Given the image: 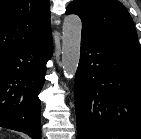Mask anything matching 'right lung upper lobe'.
I'll list each match as a JSON object with an SVG mask.
<instances>
[{
	"instance_id": "obj_1",
	"label": "right lung upper lobe",
	"mask_w": 141,
	"mask_h": 139,
	"mask_svg": "<svg viewBox=\"0 0 141 139\" xmlns=\"http://www.w3.org/2000/svg\"><path fill=\"white\" fill-rule=\"evenodd\" d=\"M50 34L49 0H0V53Z\"/></svg>"
}]
</instances>
